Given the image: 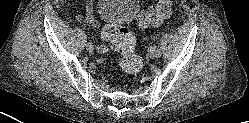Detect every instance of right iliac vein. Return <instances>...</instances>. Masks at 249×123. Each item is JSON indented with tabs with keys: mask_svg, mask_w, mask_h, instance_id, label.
Instances as JSON below:
<instances>
[{
	"mask_svg": "<svg viewBox=\"0 0 249 123\" xmlns=\"http://www.w3.org/2000/svg\"><path fill=\"white\" fill-rule=\"evenodd\" d=\"M86 49L88 52H93L94 51V45L92 43H87Z\"/></svg>",
	"mask_w": 249,
	"mask_h": 123,
	"instance_id": "right-iliac-vein-1",
	"label": "right iliac vein"
}]
</instances>
